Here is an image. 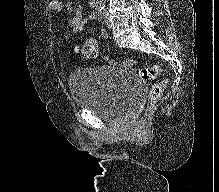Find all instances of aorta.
Returning <instances> with one entry per match:
<instances>
[{"mask_svg": "<svg viewBox=\"0 0 219 192\" xmlns=\"http://www.w3.org/2000/svg\"><path fill=\"white\" fill-rule=\"evenodd\" d=\"M96 1L98 4H101V5L105 4V2H106V0H96Z\"/></svg>", "mask_w": 219, "mask_h": 192, "instance_id": "1", "label": "aorta"}]
</instances>
